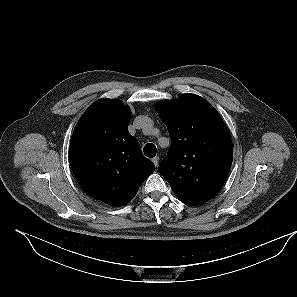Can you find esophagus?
Wrapping results in <instances>:
<instances>
[{
    "mask_svg": "<svg viewBox=\"0 0 297 297\" xmlns=\"http://www.w3.org/2000/svg\"><path fill=\"white\" fill-rule=\"evenodd\" d=\"M152 162H153L154 165L157 167V166H158V163H159V157L156 156V157L152 158Z\"/></svg>",
    "mask_w": 297,
    "mask_h": 297,
    "instance_id": "34e87169",
    "label": "esophagus"
}]
</instances>
